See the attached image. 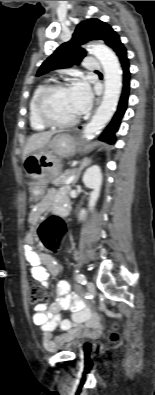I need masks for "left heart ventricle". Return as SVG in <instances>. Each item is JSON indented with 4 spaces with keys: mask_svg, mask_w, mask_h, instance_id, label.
<instances>
[{
    "mask_svg": "<svg viewBox=\"0 0 155 395\" xmlns=\"http://www.w3.org/2000/svg\"><path fill=\"white\" fill-rule=\"evenodd\" d=\"M47 113L55 120L70 121L77 117L70 88L53 93L46 103Z\"/></svg>",
    "mask_w": 155,
    "mask_h": 395,
    "instance_id": "left-heart-ventricle-1",
    "label": "left heart ventricle"
}]
</instances>
